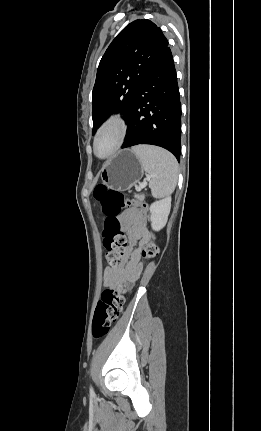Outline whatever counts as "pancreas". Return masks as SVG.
<instances>
[{
  "mask_svg": "<svg viewBox=\"0 0 261 431\" xmlns=\"http://www.w3.org/2000/svg\"><path fill=\"white\" fill-rule=\"evenodd\" d=\"M134 197L140 202L144 200V194H135Z\"/></svg>",
  "mask_w": 261,
  "mask_h": 431,
  "instance_id": "1",
  "label": "pancreas"
}]
</instances>
